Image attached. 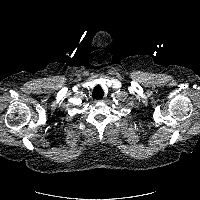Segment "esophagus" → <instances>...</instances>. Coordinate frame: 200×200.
<instances>
[{"label":"esophagus","mask_w":200,"mask_h":200,"mask_svg":"<svg viewBox=\"0 0 200 200\" xmlns=\"http://www.w3.org/2000/svg\"><path fill=\"white\" fill-rule=\"evenodd\" d=\"M99 101L103 102V101H104V99H101V100H99Z\"/></svg>","instance_id":"esophagus-1"}]
</instances>
